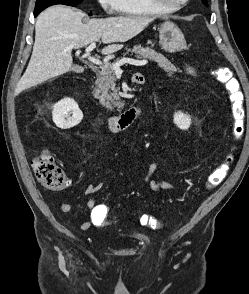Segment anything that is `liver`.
Segmentation results:
<instances>
[{"label": "liver", "mask_w": 249, "mask_h": 294, "mask_svg": "<svg viewBox=\"0 0 249 294\" xmlns=\"http://www.w3.org/2000/svg\"><path fill=\"white\" fill-rule=\"evenodd\" d=\"M85 14L79 10L56 5L44 10L35 25V43L28 67L16 87V94L58 77L72 68V49L82 48L94 41L109 44L101 51L111 54L152 21L136 16L90 19L83 23Z\"/></svg>", "instance_id": "6515ba94"}]
</instances>
